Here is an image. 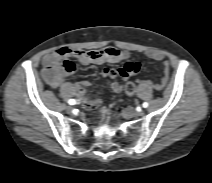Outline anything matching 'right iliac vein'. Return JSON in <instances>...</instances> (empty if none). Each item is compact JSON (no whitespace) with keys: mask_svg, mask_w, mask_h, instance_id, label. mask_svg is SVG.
I'll return each mask as SVG.
<instances>
[{"mask_svg":"<svg viewBox=\"0 0 212 183\" xmlns=\"http://www.w3.org/2000/svg\"><path fill=\"white\" fill-rule=\"evenodd\" d=\"M67 111H68L69 113H71V112H72L71 108H68V109H67Z\"/></svg>","mask_w":212,"mask_h":183,"instance_id":"obj_1","label":"right iliac vein"}]
</instances>
